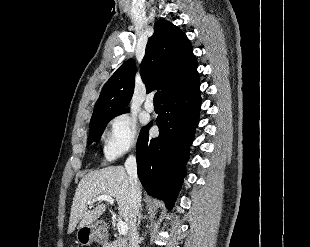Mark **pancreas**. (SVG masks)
Returning a JSON list of instances; mask_svg holds the SVG:
<instances>
[{
  "mask_svg": "<svg viewBox=\"0 0 310 247\" xmlns=\"http://www.w3.org/2000/svg\"><path fill=\"white\" fill-rule=\"evenodd\" d=\"M110 247H128L127 240L125 238H117L114 242H112Z\"/></svg>",
  "mask_w": 310,
  "mask_h": 247,
  "instance_id": "pancreas-1",
  "label": "pancreas"
}]
</instances>
